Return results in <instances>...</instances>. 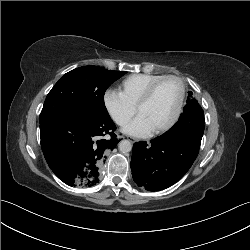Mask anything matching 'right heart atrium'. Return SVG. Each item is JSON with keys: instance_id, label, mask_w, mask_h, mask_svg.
Returning <instances> with one entry per match:
<instances>
[{"instance_id": "obj_1", "label": "right heart atrium", "mask_w": 250, "mask_h": 250, "mask_svg": "<svg viewBox=\"0 0 250 250\" xmlns=\"http://www.w3.org/2000/svg\"><path fill=\"white\" fill-rule=\"evenodd\" d=\"M103 104L111 119L119 126L125 125L136 111L135 106L115 89L105 91Z\"/></svg>"}]
</instances>
